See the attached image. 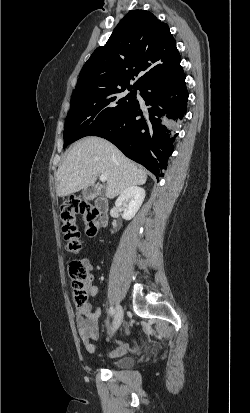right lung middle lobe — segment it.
Returning <instances> with one entry per match:
<instances>
[{"mask_svg":"<svg viewBox=\"0 0 250 413\" xmlns=\"http://www.w3.org/2000/svg\"><path fill=\"white\" fill-rule=\"evenodd\" d=\"M128 89L129 94L123 92ZM123 87L108 90L85 91L72 95L65 121L64 147L88 136L126 110L136 100V90Z\"/></svg>","mask_w":250,"mask_h":413,"instance_id":"dd1d6c3e","label":"right lung middle lobe"}]
</instances>
